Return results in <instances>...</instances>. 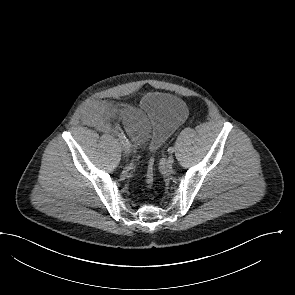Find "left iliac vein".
<instances>
[{"instance_id":"1","label":"left iliac vein","mask_w":295,"mask_h":295,"mask_svg":"<svg viewBox=\"0 0 295 295\" xmlns=\"http://www.w3.org/2000/svg\"><path fill=\"white\" fill-rule=\"evenodd\" d=\"M174 163V157L173 156H169L166 160V167L167 168H171L172 165Z\"/></svg>"}]
</instances>
